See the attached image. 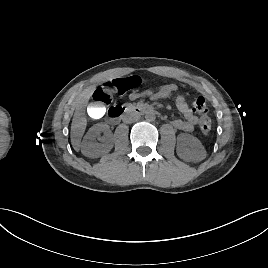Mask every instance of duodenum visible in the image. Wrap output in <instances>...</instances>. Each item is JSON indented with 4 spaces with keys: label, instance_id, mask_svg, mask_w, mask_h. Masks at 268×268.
Returning a JSON list of instances; mask_svg holds the SVG:
<instances>
[{
    "label": "duodenum",
    "instance_id": "duodenum-1",
    "mask_svg": "<svg viewBox=\"0 0 268 268\" xmlns=\"http://www.w3.org/2000/svg\"><path fill=\"white\" fill-rule=\"evenodd\" d=\"M154 109L146 105H115L108 109V118L111 122L117 123L129 114H153Z\"/></svg>",
    "mask_w": 268,
    "mask_h": 268
}]
</instances>
